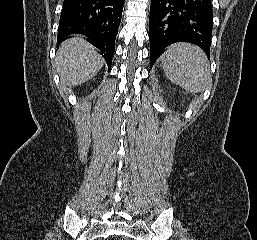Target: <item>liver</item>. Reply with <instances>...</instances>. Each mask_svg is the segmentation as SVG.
Instances as JSON below:
<instances>
[{
	"label": "liver",
	"mask_w": 257,
	"mask_h": 240,
	"mask_svg": "<svg viewBox=\"0 0 257 240\" xmlns=\"http://www.w3.org/2000/svg\"><path fill=\"white\" fill-rule=\"evenodd\" d=\"M103 58L82 37L63 42L56 54L55 65L61 83L66 86L81 85L92 79L103 66Z\"/></svg>",
	"instance_id": "1"
}]
</instances>
